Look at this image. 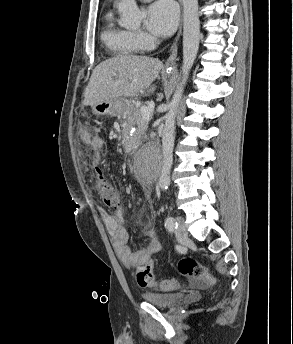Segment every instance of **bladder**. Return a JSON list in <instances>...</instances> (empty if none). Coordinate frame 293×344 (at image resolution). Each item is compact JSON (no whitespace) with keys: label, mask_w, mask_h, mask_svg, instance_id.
Listing matches in <instances>:
<instances>
[{"label":"bladder","mask_w":293,"mask_h":344,"mask_svg":"<svg viewBox=\"0 0 293 344\" xmlns=\"http://www.w3.org/2000/svg\"><path fill=\"white\" fill-rule=\"evenodd\" d=\"M147 303L164 309H170L181 303L185 296L181 293H161V292H147L144 295Z\"/></svg>","instance_id":"1"}]
</instances>
